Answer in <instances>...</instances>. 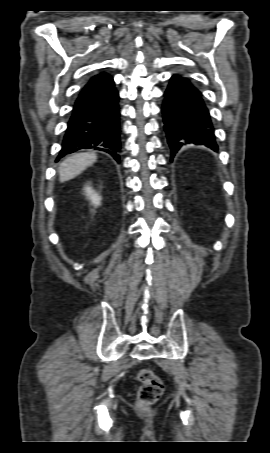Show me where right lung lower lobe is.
<instances>
[{
    "label": "right lung lower lobe",
    "mask_w": 270,
    "mask_h": 453,
    "mask_svg": "<svg viewBox=\"0 0 270 453\" xmlns=\"http://www.w3.org/2000/svg\"><path fill=\"white\" fill-rule=\"evenodd\" d=\"M119 94L107 73L92 77L77 97L62 149L61 157L80 149H95L109 153L120 162Z\"/></svg>",
    "instance_id": "98d812e1"
}]
</instances>
